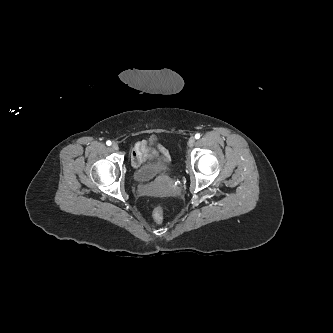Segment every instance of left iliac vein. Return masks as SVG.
I'll use <instances>...</instances> for the list:
<instances>
[{
    "label": "left iliac vein",
    "mask_w": 333,
    "mask_h": 333,
    "mask_svg": "<svg viewBox=\"0 0 333 333\" xmlns=\"http://www.w3.org/2000/svg\"><path fill=\"white\" fill-rule=\"evenodd\" d=\"M194 143H195V138L194 137H191L188 141V146L189 147H193L194 146Z\"/></svg>",
    "instance_id": "obj_1"
}]
</instances>
